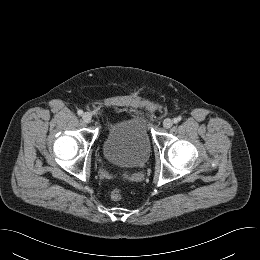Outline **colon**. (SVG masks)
<instances>
[{"label": "colon", "mask_w": 260, "mask_h": 260, "mask_svg": "<svg viewBox=\"0 0 260 260\" xmlns=\"http://www.w3.org/2000/svg\"><path fill=\"white\" fill-rule=\"evenodd\" d=\"M110 197L115 202L120 201L123 198V191H122V189H119V188L114 189L111 192Z\"/></svg>", "instance_id": "colon-1"}]
</instances>
